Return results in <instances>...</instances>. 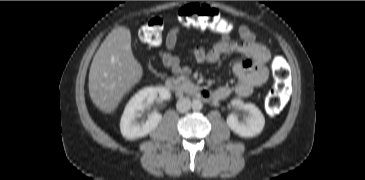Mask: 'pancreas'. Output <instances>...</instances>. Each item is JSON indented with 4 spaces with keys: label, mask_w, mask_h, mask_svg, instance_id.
<instances>
[{
    "label": "pancreas",
    "mask_w": 365,
    "mask_h": 180,
    "mask_svg": "<svg viewBox=\"0 0 365 180\" xmlns=\"http://www.w3.org/2000/svg\"><path fill=\"white\" fill-rule=\"evenodd\" d=\"M180 88L185 92H189L192 88H194V85H193V83H191V81H189L187 79H182Z\"/></svg>",
    "instance_id": "cf45deb5"
}]
</instances>
